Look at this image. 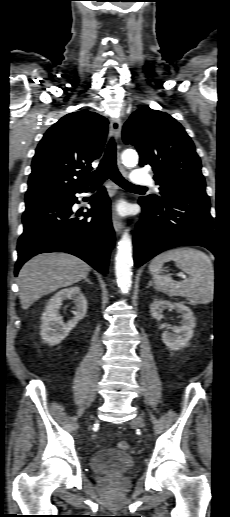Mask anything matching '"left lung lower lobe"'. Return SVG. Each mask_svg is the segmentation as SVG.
Here are the masks:
<instances>
[{"mask_svg":"<svg viewBox=\"0 0 230 517\" xmlns=\"http://www.w3.org/2000/svg\"><path fill=\"white\" fill-rule=\"evenodd\" d=\"M139 204L143 221L134 233L135 266L178 246H203L216 255L208 196L174 197L160 205L140 198Z\"/></svg>","mask_w":230,"mask_h":517,"instance_id":"0a47b994","label":"left lung lower lobe"}]
</instances>
